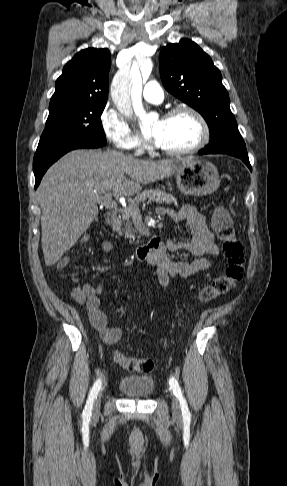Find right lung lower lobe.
<instances>
[{
	"label": "right lung lower lobe",
	"mask_w": 287,
	"mask_h": 486,
	"mask_svg": "<svg viewBox=\"0 0 287 486\" xmlns=\"http://www.w3.org/2000/svg\"><path fill=\"white\" fill-rule=\"evenodd\" d=\"M104 145L93 143L70 144L62 147L36 151L33 160V171L36 179L35 189L38 187L46 170L65 153L80 148H99Z\"/></svg>",
	"instance_id": "right-lung-lower-lobe-1"
}]
</instances>
